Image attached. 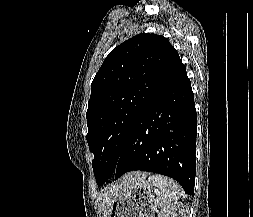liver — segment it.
<instances>
[{
  "mask_svg": "<svg viewBox=\"0 0 253 217\" xmlns=\"http://www.w3.org/2000/svg\"><path fill=\"white\" fill-rule=\"evenodd\" d=\"M147 177L146 173L130 172L112 183L100 194V210L102 217H108L113 201L121 197L127 190L133 188Z\"/></svg>",
  "mask_w": 253,
  "mask_h": 217,
  "instance_id": "6515ba94",
  "label": "liver"
}]
</instances>
